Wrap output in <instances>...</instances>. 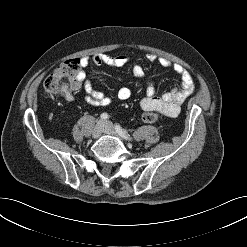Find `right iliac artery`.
Returning a JSON list of instances; mask_svg holds the SVG:
<instances>
[{
    "instance_id": "obj_1",
    "label": "right iliac artery",
    "mask_w": 247,
    "mask_h": 247,
    "mask_svg": "<svg viewBox=\"0 0 247 247\" xmlns=\"http://www.w3.org/2000/svg\"><path fill=\"white\" fill-rule=\"evenodd\" d=\"M109 118V115L107 113L101 114V119L102 120H107Z\"/></svg>"
}]
</instances>
